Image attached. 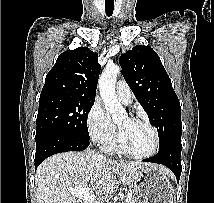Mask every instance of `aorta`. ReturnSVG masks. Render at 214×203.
Listing matches in <instances>:
<instances>
[{"label":"aorta","instance_id":"1","mask_svg":"<svg viewBox=\"0 0 214 203\" xmlns=\"http://www.w3.org/2000/svg\"><path fill=\"white\" fill-rule=\"evenodd\" d=\"M120 67L113 63L107 64L99 78V91L106 111L113 120H119L126 116L125 109L118 102L115 93V84Z\"/></svg>","mask_w":214,"mask_h":203}]
</instances>
